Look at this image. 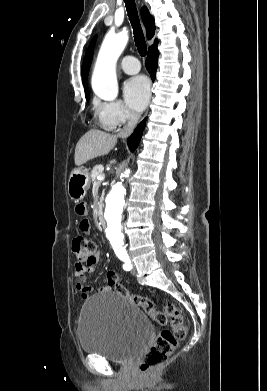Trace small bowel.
I'll return each mask as SVG.
<instances>
[{
	"instance_id": "c3829d8e",
	"label": "small bowel",
	"mask_w": 267,
	"mask_h": 391,
	"mask_svg": "<svg viewBox=\"0 0 267 391\" xmlns=\"http://www.w3.org/2000/svg\"><path fill=\"white\" fill-rule=\"evenodd\" d=\"M75 212L77 215L81 216L82 219L79 224L80 231L88 234L90 232V222L87 219V206L85 203L80 202L76 205ZM97 263V261H96ZM93 264L90 266H79L75 265V278H76V288L80 292L81 297L83 299L89 298L92 288L88 285H86V276L87 274L93 273L97 269V264ZM108 289L107 286H102L99 288L100 292H104Z\"/></svg>"
}]
</instances>
